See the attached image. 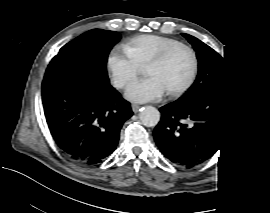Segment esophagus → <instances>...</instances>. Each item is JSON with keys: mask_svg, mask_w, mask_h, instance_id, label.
Wrapping results in <instances>:
<instances>
[{"mask_svg": "<svg viewBox=\"0 0 270 213\" xmlns=\"http://www.w3.org/2000/svg\"><path fill=\"white\" fill-rule=\"evenodd\" d=\"M131 107H132V110H133L134 113H137L141 108L140 105L134 104V103L131 105Z\"/></svg>", "mask_w": 270, "mask_h": 213, "instance_id": "obj_1", "label": "esophagus"}]
</instances>
